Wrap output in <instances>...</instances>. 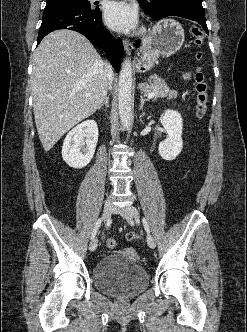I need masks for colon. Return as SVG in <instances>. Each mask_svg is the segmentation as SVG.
Segmentation results:
<instances>
[{"label":"colon","instance_id":"colon-1","mask_svg":"<svg viewBox=\"0 0 247 332\" xmlns=\"http://www.w3.org/2000/svg\"><path fill=\"white\" fill-rule=\"evenodd\" d=\"M191 35L194 39L196 45L201 46L206 38L205 32L199 27H191ZM197 60L202 58V53L200 51L196 54ZM195 108L196 114L199 118L204 117L207 110L208 103V85L205 79L203 71L198 67L196 68L195 75ZM127 239L133 240L137 238V234L129 232L127 234ZM106 245L109 249H114L116 247V241L113 238H108L106 240Z\"/></svg>","mask_w":247,"mask_h":332}]
</instances>
